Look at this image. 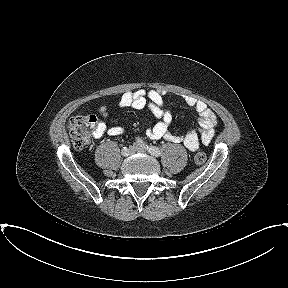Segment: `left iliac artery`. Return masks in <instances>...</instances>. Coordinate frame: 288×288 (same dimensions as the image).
<instances>
[{
  "label": "left iliac artery",
  "mask_w": 288,
  "mask_h": 288,
  "mask_svg": "<svg viewBox=\"0 0 288 288\" xmlns=\"http://www.w3.org/2000/svg\"><path fill=\"white\" fill-rule=\"evenodd\" d=\"M138 142H141V143H142V141H138ZM143 145H144V144H143ZM144 148H146V149L148 150V152H149L151 155H153V156L158 157V156L161 154L159 148L156 147V146L144 145Z\"/></svg>",
  "instance_id": "left-iliac-artery-1"
}]
</instances>
